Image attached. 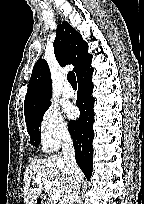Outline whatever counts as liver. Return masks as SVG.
<instances>
[{
    "label": "liver",
    "mask_w": 144,
    "mask_h": 204,
    "mask_svg": "<svg viewBox=\"0 0 144 204\" xmlns=\"http://www.w3.org/2000/svg\"><path fill=\"white\" fill-rule=\"evenodd\" d=\"M41 176L52 182L53 189H56L63 198L69 187V177L66 172V163L59 156L45 159L33 160L25 170L23 197L26 204H34L44 190V182L40 181L37 187L30 188L31 182Z\"/></svg>",
    "instance_id": "obj_1"
}]
</instances>
